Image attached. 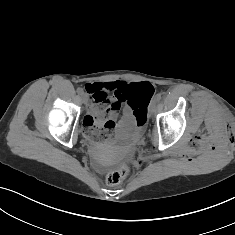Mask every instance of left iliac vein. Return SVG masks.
<instances>
[{"label":"left iliac vein","instance_id":"obj_1","mask_svg":"<svg viewBox=\"0 0 235 235\" xmlns=\"http://www.w3.org/2000/svg\"><path fill=\"white\" fill-rule=\"evenodd\" d=\"M156 111V100H153L149 105V113L153 114Z\"/></svg>","mask_w":235,"mask_h":235}]
</instances>
